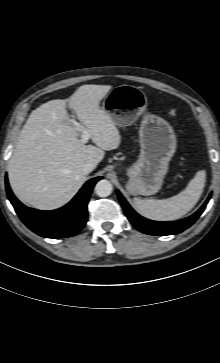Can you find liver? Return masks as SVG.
Here are the masks:
<instances>
[{"label": "liver", "mask_w": 220, "mask_h": 363, "mask_svg": "<svg viewBox=\"0 0 220 363\" xmlns=\"http://www.w3.org/2000/svg\"><path fill=\"white\" fill-rule=\"evenodd\" d=\"M111 88L82 85L69 98L48 101L31 112L8 164L10 186L22 202L41 210L65 205L86 180L83 164L97 165L104 151L119 147V130L100 107ZM67 107L89 130L96 146L78 138Z\"/></svg>", "instance_id": "liver-1"}]
</instances>
